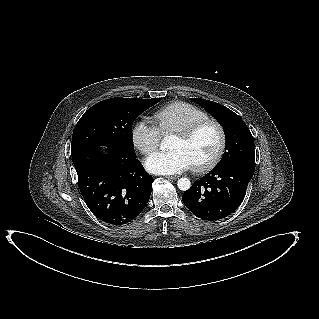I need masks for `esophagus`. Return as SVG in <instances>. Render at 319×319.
<instances>
[{
	"mask_svg": "<svg viewBox=\"0 0 319 319\" xmlns=\"http://www.w3.org/2000/svg\"><path fill=\"white\" fill-rule=\"evenodd\" d=\"M178 177H179V176H177V175H174V176L167 175V176H165V178L171 179V180H175V179H177Z\"/></svg>",
	"mask_w": 319,
	"mask_h": 319,
	"instance_id": "1",
	"label": "esophagus"
}]
</instances>
